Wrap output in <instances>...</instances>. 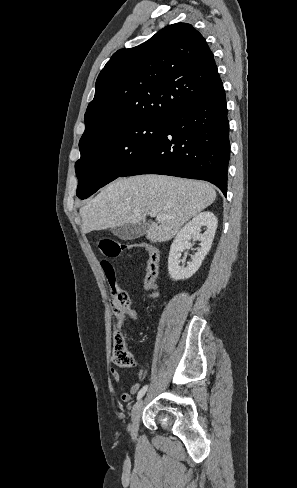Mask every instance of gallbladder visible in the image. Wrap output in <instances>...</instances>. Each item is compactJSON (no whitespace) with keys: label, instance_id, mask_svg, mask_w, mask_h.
I'll list each match as a JSON object with an SVG mask.
<instances>
[{"label":"gallbladder","instance_id":"obj_1","mask_svg":"<svg viewBox=\"0 0 297 488\" xmlns=\"http://www.w3.org/2000/svg\"><path fill=\"white\" fill-rule=\"evenodd\" d=\"M147 223L124 224L111 228V232L121 240H133L147 233Z\"/></svg>","mask_w":297,"mask_h":488}]
</instances>
